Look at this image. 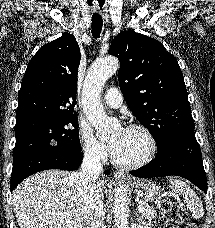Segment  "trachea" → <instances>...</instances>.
<instances>
[{
  "instance_id": "trachea-1",
  "label": "trachea",
  "mask_w": 215,
  "mask_h": 228,
  "mask_svg": "<svg viewBox=\"0 0 215 228\" xmlns=\"http://www.w3.org/2000/svg\"><path fill=\"white\" fill-rule=\"evenodd\" d=\"M103 20L101 15L93 14L92 17V34L94 38H99L102 30Z\"/></svg>"
}]
</instances>
